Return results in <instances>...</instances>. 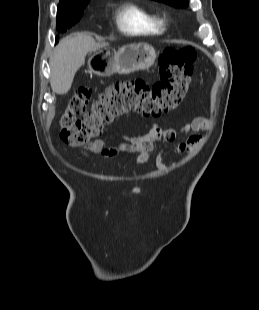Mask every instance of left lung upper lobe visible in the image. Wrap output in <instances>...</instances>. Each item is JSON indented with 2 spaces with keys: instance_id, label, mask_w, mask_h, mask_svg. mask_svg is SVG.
I'll return each mask as SVG.
<instances>
[{
  "instance_id": "1",
  "label": "left lung upper lobe",
  "mask_w": 259,
  "mask_h": 310,
  "mask_svg": "<svg viewBox=\"0 0 259 310\" xmlns=\"http://www.w3.org/2000/svg\"><path fill=\"white\" fill-rule=\"evenodd\" d=\"M177 8H185L188 6L189 0H156Z\"/></svg>"
}]
</instances>
